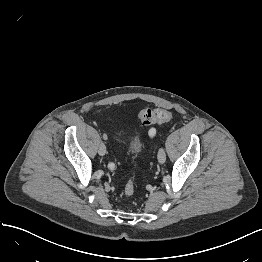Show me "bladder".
Returning <instances> with one entry per match:
<instances>
[{
  "label": "bladder",
  "mask_w": 262,
  "mask_h": 262,
  "mask_svg": "<svg viewBox=\"0 0 262 262\" xmlns=\"http://www.w3.org/2000/svg\"><path fill=\"white\" fill-rule=\"evenodd\" d=\"M128 147L132 154L141 155L145 149V140L139 134H132L128 138Z\"/></svg>",
  "instance_id": "bladder-1"
}]
</instances>
